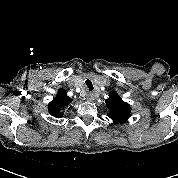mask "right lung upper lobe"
<instances>
[{
    "mask_svg": "<svg viewBox=\"0 0 178 178\" xmlns=\"http://www.w3.org/2000/svg\"><path fill=\"white\" fill-rule=\"evenodd\" d=\"M72 99L67 96L66 91L64 89H60L55 99L49 104V112L56 118H61L62 112L61 109L65 108L69 105Z\"/></svg>",
    "mask_w": 178,
    "mask_h": 178,
    "instance_id": "1",
    "label": "right lung upper lobe"
}]
</instances>
